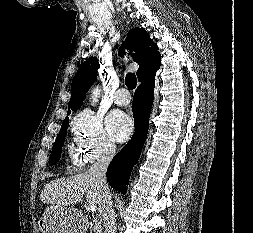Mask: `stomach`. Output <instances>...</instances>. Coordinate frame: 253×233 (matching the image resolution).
<instances>
[{
	"label": "stomach",
	"instance_id": "0dacf381",
	"mask_svg": "<svg viewBox=\"0 0 253 233\" xmlns=\"http://www.w3.org/2000/svg\"><path fill=\"white\" fill-rule=\"evenodd\" d=\"M74 210L53 205L45 210L38 225L41 233H80Z\"/></svg>",
	"mask_w": 253,
	"mask_h": 233
}]
</instances>
